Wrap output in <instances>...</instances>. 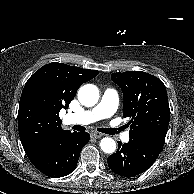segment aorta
Wrapping results in <instances>:
<instances>
[{
  "mask_svg": "<svg viewBox=\"0 0 194 194\" xmlns=\"http://www.w3.org/2000/svg\"><path fill=\"white\" fill-rule=\"evenodd\" d=\"M100 94L95 85L86 84L78 91V99L80 103L86 107H92L97 104ZM100 147L105 153H113L116 150V142L110 138L105 137L100 141Z\"/></svg>",
  "mask_w": 194,
  "mask_h": 194,
  "instance_id": "obj_1",
  "label": "aorta"
}]
</instances>
